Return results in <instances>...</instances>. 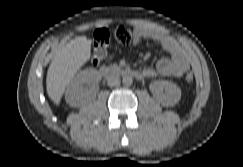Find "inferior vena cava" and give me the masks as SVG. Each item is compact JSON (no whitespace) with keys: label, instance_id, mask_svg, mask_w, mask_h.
Listing matches in <instances>:
<instances>
[{"label":"inferior vena cava","instance_id":"1","mask_svg":"<svg viewBox=\"0 0 243 167\" xmlns=\"http://www.w3.org/2000/svg\"><path fill=\"white\" fill-rule=\"evenodd\" d=\"M108 86L114 87V86H119L120 85V79L117 76H110L107 79Z\"/></svg>","mask_w":243,"mask_h":167}]
</instances>
